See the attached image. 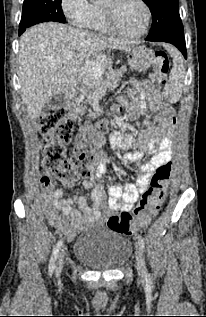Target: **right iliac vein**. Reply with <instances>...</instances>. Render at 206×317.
<instances>
[{
	"mask_svg": "<svg viewBox=\"0 0 206 317\" xmlns=\"http://www.w3.org/2000/svg\"><path fill=\"white\" fill-rule=\"evenodd\" d=\"M64 256L65 252L62 251L60 255L58 256L57 262H56V274L59 275L62 271L63 264H64Z\"/></svg>",
	"mask_w": 206,
	"mask_h": 317,
	"instance_id": "obj_1",
	"label": "right iliac vein"
}]
</instances>
